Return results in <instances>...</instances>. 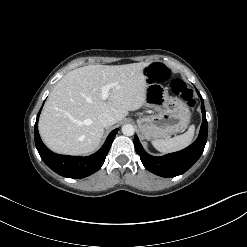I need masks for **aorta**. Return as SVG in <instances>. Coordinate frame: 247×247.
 Masks as SVG:
<instances>
[{
	"mask_svg": "<svg viewBox=\"0 0 247 247\" xmlns=\"http://www.w3.org/2000/svg\"><path fill=\"white\" fill-rule=\"evenodd\" d=\"M135 132V128L131 124H125L122 126V133L126 136H132Z\"/></svg>",
	"mask_w": 247,
	"mask_h": 247,
	"instance_id": "762f6f07",
	"label": "aorta"
}]
</instances>
